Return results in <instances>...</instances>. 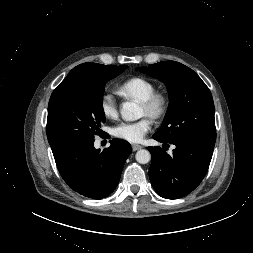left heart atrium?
Segmentation results:
<instances>
[{
    "instance_id": "1",
    "label": "left heart atrium",
    "mask_w": 253,
    "mask_h": 253,
    "mask_svg": "<svg viewBox=\"0 0 253 253\" xmlns=\"http://www.w3.org/2000/svg\"><path fill=\"white\" fill-rule=\"evenodd\" d=\"M152 121L149 118H142L134 122H120L112 127L111 133L119 139L137 143L151 130Z\"/></svg>"
}]
</instances>
